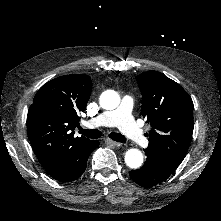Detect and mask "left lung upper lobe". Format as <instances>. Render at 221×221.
Returning a JSON list of instances; mask_svg holds the SVG:
<instances>
[{
	"mask_svg": "<svg viewBox=\"0 0 221 221\" xmlns=\"http://www.w3.org/2000/svg\"><path fill=\"white\" fill-rule=\"evenodd\" d=\"M137 82L143 96L141 115L153 127L146 150L176 170L192 139V99L178 83L157 71L141 73Z\"/></svg>",
	"mask_w": 221,
	"mask_h": 221,
	"instance_id": "left-lung-upper-lobe-1",
	"label": "left lung upper lobe"
}]
</instances>
